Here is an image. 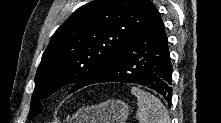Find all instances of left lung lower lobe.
Returning <instances> with one entry per match:
<instances>
[{"label":"left lung lower lobe","instance_id":"1","mask_svg":"<svg viewBox=\"0 0 221 123\" xmlns=\"http://www.w3.org/2000/svg\"><path fill=\"white\" fill-rule=\"evenodd\" d=\"M172 66L159 12L127 48L88 83L123 82L147 86L171 103Z\"/></svg>","mask_w":221,"mask_h":123}]
</instances>
